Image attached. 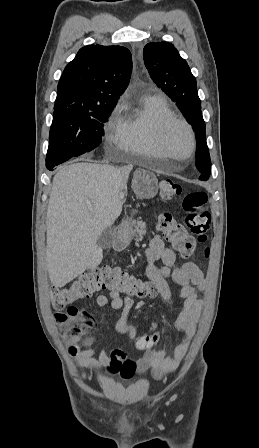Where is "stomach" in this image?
<instances>
[{
    "instance_id": "obj_1",
    "label": "stomach",
    "mask_w": 259,
    "mask_h": 448,
    "mask_svg": "<svg viewBox=\"0 0 259 448\" xmlns=\"http://www.w3.org/2000/svg\"><path fill=\"white\" fill-rule=\"evenodd\" d=\"M133 236H134V230L131 226V222L130 220H126V222H123V224H121L118 230V238H120V240H123V242H126V244H128V242H131Z\"/></svg>"
}]
</instances>
